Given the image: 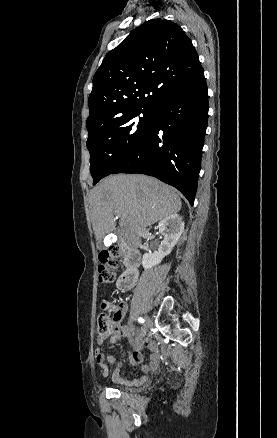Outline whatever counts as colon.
I'll return each mask as SVG.
<instances>
[{"label":"colon","instance_id":"5ec220e1","mask_svg":"<svg viewBox=\"0 0 277 438\" xmlns=\"http://www.w3.org/2000/svg\"><path fill=\"white\" fill-rule=\"evenodd\" d=\"M120 255L121 251L117 246H111L100 254V263L97 265V281L100 285L112 284L115 281V266ZM104 310L106 312L101 314V318L94 320V329L99 331V334H114L115 328L119 326V307L115 306L113 313L109 312L111 310L109 305H106Z\"/></svg>","mask_w":277,"mask_h":438}]
</instances>
